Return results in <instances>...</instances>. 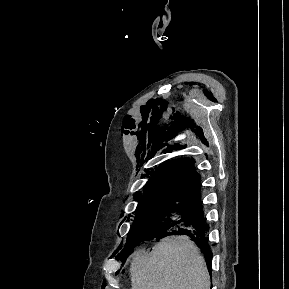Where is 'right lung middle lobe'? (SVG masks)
Returning <instances> with one entry per match:
<instances>
[{
	"mask_svg": "<svg viewBox=\"0 0 289 289\" xmlns=\"http://www.w3.org/2000/svg\"><path fill=\"white\" fill-rule=\"evenodd\" d=\"M134 224L128 233L123 254L132 244L153 236H167L177 231L193 214L200 202L198 196L162 195L140 199Z\"/></svg>",
	"mask_w": 289,
	"mask_h": 289,
	"instance_id": "dd1d6c3e",
	"label": "right lung middle lobe"
}]
</instances>
